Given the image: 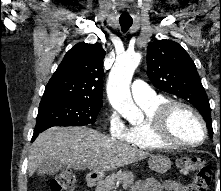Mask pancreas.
Here are the masks:
<instances>
[{
    "label": "pancreas",
    "mask_w": 221,
    "mask_h": 191,
    "mask_svg": "<svg viewBox=\"0 0 221 191\" xmlns=\"http://www.w3.org/2000/svg\"><path fill=\"white\" fill-rule=\"evenodd\" d=\"M119 181L123 188L132 186L134 182V175L132 172H117L107 176L104 180L100 181L95 191H110L116 187V182Z\"/></svg>",
    "instance_id": "cf45deb5"
}]
</instances>
